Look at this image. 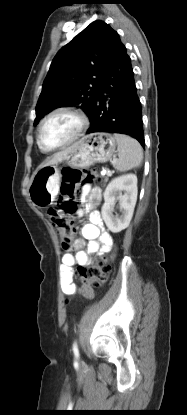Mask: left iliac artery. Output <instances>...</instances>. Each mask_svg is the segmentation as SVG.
Wrapping results in <instances>:
<instances>
[{
    "mask_svg": "<svg viewBox=\"0 0 187 415\" xmlns=\"http://www.w3.org/2000/svg\"><path fill=\"white\" fill-rule=\"evenodd\" d=\"M73 352L75 353V355L78 354V346H77L76 342H74V344H73Z\"/></svg>",
    "mask_w": 187,
    "mask_h": 415,
    "instance_id": "left-iliac-artery-1",
    "label": "left iliac artery"
}]
</instances>
